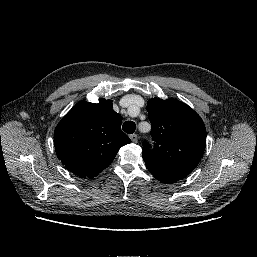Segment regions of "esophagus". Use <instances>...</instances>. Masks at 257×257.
Returning a JSON list of instances; mask_svg holds the SVG:
<instances>
[{
    "label": "esophagus",
    "instance_id": "34e87169",
    "mask_svg": "<svg viewBox=\"0 0 257 257\" xmlns=\"http://www.w3.org/2000/svg\"><path fill=\"white\" fill-rule=\"evenodd\" d=\"M130 139H131V141H132L133 143H137V141H138V136H137V134H131V135H130Z\"/></svg>",
    "mask_w": 257,
    "mask_h": 257
}]
</instances>
